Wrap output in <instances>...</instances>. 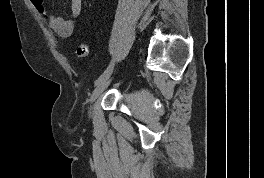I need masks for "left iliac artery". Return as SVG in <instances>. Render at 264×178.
Returning <instances> with one entry per match:
<instances>
[{
  "label": "left iliac artery",
  "instance_id": "1",
  "mask_svg": "<svg viewBox=\"0 0 264 178\" xmlns=\"http://www.w3.org/2000/svg\"><path fill=\"white\" fill-rule=\"evenodd\" d=\"M114 68V61L112 60L107 69L100 75V77L95 81V85H98L105 77L111 74Z\"/></svg>",
  "mask_w": 264,
  "mask_h": 178
}]
</instances>
